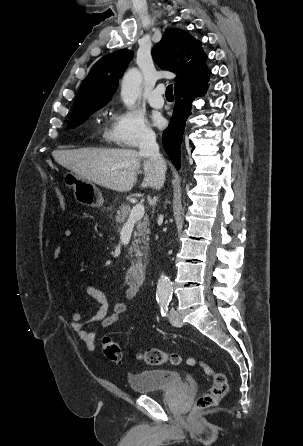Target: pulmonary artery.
<instances>
[{
  "label": "pulmonary artery",
  "instance_id": "obj_1",
  "mask_svg": "<svg viewBox=\"0 0 303 446\" xmlns=\"http://www.w3.org/2000/svg\"><path fill=\"white\" fill-rule=\"evenodd\" d=\"M164 86L158 85L156 86L148 97L149 104L154 108H161L164 105V98L162 94L164 93Z\"/></svg>",
  "mask_w": 303,
  "mask_h": 446
}]
</instances>
